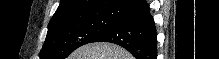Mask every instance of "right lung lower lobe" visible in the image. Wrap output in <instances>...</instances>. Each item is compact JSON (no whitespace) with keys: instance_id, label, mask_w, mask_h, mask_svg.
Returning <instances> with one entry per match:
<instances>
[{"instance_id":"1","label":"right lung lower lobe","mask_w":219,"mask_h":59,"mask_svg":"<svg viewBox=\"0 0 219 59\" xmlns=\"http://www.w3.org/2000/svg\"><path fill=\"white\" fill-rule=\"evenodd\" d=\"M123 19L97 36L93 42L122 46L136 59H156L157 33L145 0H124L114 6Z\"/></svg>"}]
</instances>
